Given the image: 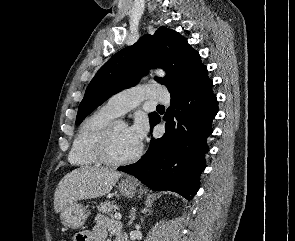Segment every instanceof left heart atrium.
<instances>
[{
	"label": "left heart atrium",
	"instance_id": "1",
	"mask_svg": "<svg viewBox=\"0 0 295 241\" xmlns=\"http://www.w3.org/2000/svg\"><path fill=\"white\" fill-rule=\"evenodd\" d=\"M130 137L135 143L140 145L147 133V123L144 119L138 118L135 122L128 127Z\"/></svg>",
	"mask_w": 295,
	"mask_h": 241
}]
</instances>
